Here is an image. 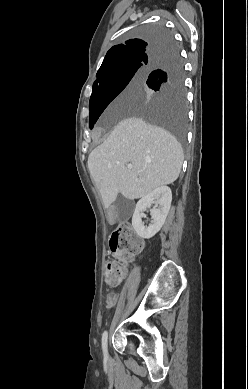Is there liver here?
<instances>
[{
  "label": "liver",
  "mask_w": 248,
  "mask_h": 389,
  "mask_svg": "<svg viewBox=\"0 0 248 389\" xmlns=\"http://www.w3.org/2000/svg\"><path fill=\"white\" fill-rule=\"evenodd\" d=\"M133 101V85L116 104ZM184 154L168 131L138 117L119 122L109 137L88 157L91 178L108 208L118 194L139 199L158 187L172 184L179 176ZM131 164L132 169L127 165Z\"/></svg>",
  "instance_id": "1"
}]
</instances>
